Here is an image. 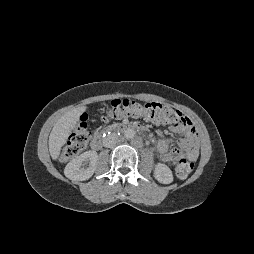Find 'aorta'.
I'll return each instance as SVG.
<instances>
[{
  "mask_svg": "<svg viewBox=\"0 0 254 254\" xmlns=\"http://www.w3.org/2000/svg\"><path fill=\"white\" fill-rule=\"evenodd\" d=\"M124 136L125 138L127 139H132L134 138L135 136V131L133 129H127L125 132H124Z\"/></svg>",
  "mask_w": 254,
  "mask_h": 254,
  "instance_id": "762f6f07",
  "label": "aorta"
}]
</instances>
